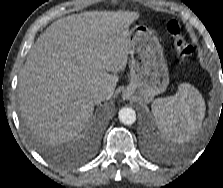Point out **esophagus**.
Wrapping results in <instances>:
<instances>
[{
    "label": "esophagus",
    "mask_w": 223,
    "mask_h": 188,
    "mask_svg": "<svg viewBox=\"0 0 223 188\" xmlns=\"http://www.w3.org/2000/svg\"><path fill=\"white\" fill-rule=\"evenodd\" d=\"M125 98L128 99V95H125Z\"/></svg>",
    "instance_id": "obj_1"
}]
</instances>
